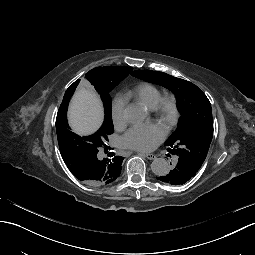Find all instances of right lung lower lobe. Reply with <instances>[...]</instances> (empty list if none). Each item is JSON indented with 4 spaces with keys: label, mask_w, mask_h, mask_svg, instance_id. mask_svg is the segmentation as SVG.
I'll return each mask as SVG.
<instances>
[{
    "label": "right lung lower lobe",
    "mask_w": 255,
    "mask_h": 255,
    "mask_svg": "<svg viewBox=\"0 0 255 255\" xmlns=\"http://www.w3.org/2000/svg\"><path fill=\"white\" fill-rule=\"evenodd\" d=\"M79 178L83 181L90 180L98 182L100 180V160L97 157L82 160L79 165Z\"/></svg>",
    "instance_id": "1"
}]
</instances>
